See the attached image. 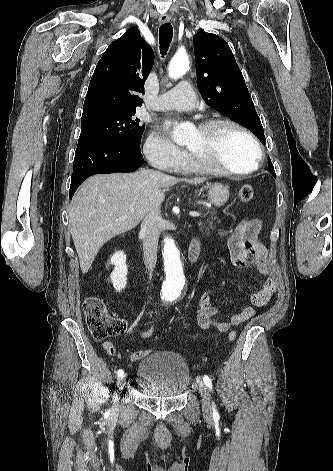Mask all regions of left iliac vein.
I'll return each mask as SVG.
<instances>
[{
	"instance_id": "1",
	"label": "left iliac vein",
	"mask_w": 333,
	"mask_h": 471,
	"mask_svg": "<svg viewBox=\"0 0 333 471\" xmlns=\"http://www.w3.org/2000/svg\"><path fill=\"white\" fill-rule=\"evenodd\" d=\"M197 384L202 397L203 412L206 416H211V400L208 386L199 378L197 379Z\"/></svg>"
}]
</instances>
